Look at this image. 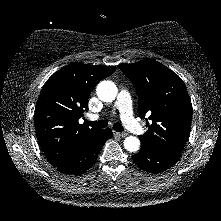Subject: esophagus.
I'll return each mask as SVG.
<instances>
[{
	"mask_svg": "<svg viewBox=\"0 0 221 221\" xmlns=\"http://www.w3.org/2000/svg\"><path fill=\"white\" fill-rule=\"evenodd\" d=\"M113 134L118 137H126L127 136V133H125V132L113 131Z\"/></svg>",
	"mask_w": 221,
	"mask_h": 221,
	"instance_id": "1",
	"label": "esophagus"
}]
</instances>
